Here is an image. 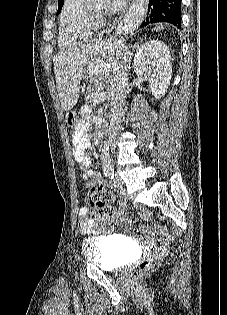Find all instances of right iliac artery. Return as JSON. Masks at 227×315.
Listing matches in <instances>:
<instances>
[{"instance_id":"right-iliac-artery-1","label":"right iliac artery","mask_w":227,"mask_h":315,"mask_svg":"<svg viewBox=\"0 0 227 315\" xmlns=\"http://www.w3.org/2000/svg\"><path fill=\"white\" fill-rule=\"evenodd\" d=\"M105 176H107L109 179H114L115 177V172L112 169H108L105 172Z\"/></svg>"}]
</instances>
